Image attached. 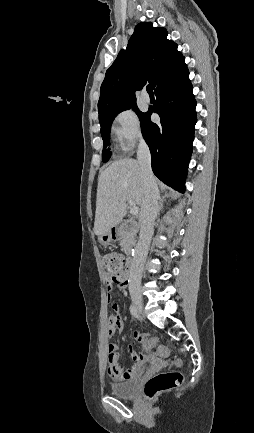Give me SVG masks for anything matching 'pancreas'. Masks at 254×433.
<instances>
[{
  "label": "pancreas",
  "mask_w": 254,
  "mask_h": 433,
  "mask_svg": "<svg viewBox=\"0 0 254 433\" xmlns=\"http://www.w3.org/2000/svg\"><path fill=\"white\" fill-rule=\"evenodd\" d=\"M134 240V235L131 234L129 236L124 237V239L121 241V246L125 247L127 245L128 242L133 241Z\"/></svg>",
  "instance_id": "cf45deb5"
}]
</instances>
